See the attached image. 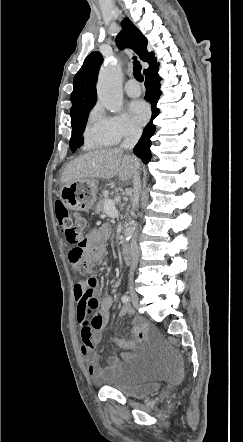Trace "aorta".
I'll use <instances>...</instances> for the list:
<instances>
[{"label": "aorta", "instance_id": "1", "mask_svg": "<svg viewBox=\"0 0 243 442\" xmlns=\"http://www.w3.org/2000/svg\"><path fill=\"white\" fill-rule=\"evenodd\" d=\"M98 98L102 105L112 113H119L123 106L121 88V68L118 64L109 63L102 67L97 82ZM135 222L127 225L124 235L130 238L134 234Z\"/></svg>", "mask_w": 243, "mask_h": 442}]
</instances>
